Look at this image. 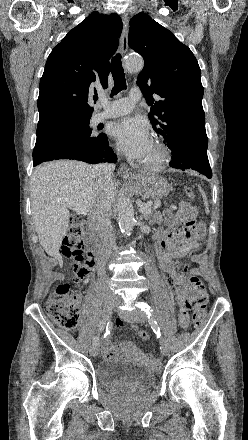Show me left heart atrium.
Masks as SVG:
<instances>
[{"label": "left heart atrium", "instance_id": "obj_1", "mask_svg": "<svg viewBox=\"0 0 248 440\" xmlns=\"http://www.w3.org/2000/svg\"><path fill=\"white\" fill-rule=\"evenodd\" d=\"M111 136L121 151L137 160H144L152 147L146 123L139 118H123L112 125Z\"/></svg>", "mask_w": 248, "mask_h": 440}]
</instances>
